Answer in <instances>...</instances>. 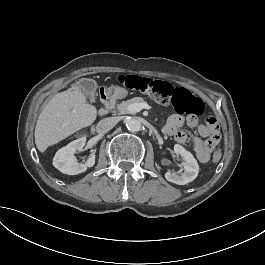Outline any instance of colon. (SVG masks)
I'll return each mask as SVG.
<instances>
[{"label":"colon","mask_w":265,"mask_h":265,"mask_svg":"<svg viewBox=\"0 0 265 265\" xmlns=\"http://www.w3.org/2000/svg\"><path fill=\"white\" fill-rule=\"evenodd\" d=\"M119 84L130 90L148 95L162 104H171L176 113L181 115L198 116L204 112V104L201 98L194 95L188 89L175 86L168 81L152 79L136 74L119 75ZM221 152L216 151L211 161H220Z\"/></svg>","instance_id":"1"}]
</instances>
